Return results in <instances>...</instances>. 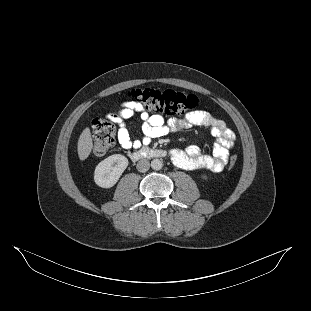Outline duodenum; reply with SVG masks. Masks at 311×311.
<instances>
[{"label":"duodenum","instance_id":"410a0bca","mask_svg":"<svg viewBox=\"0 0 311 311\" xmlns=\"http://www.w3.org/2000/svg\"><path fill=\"white\" fill-rule=\"evenodd\" d=\"M167 155L168 153L163 149L148 148V147L133 151L129 154L130 158L133 161L151 158H164Z\"/></svg>","mask_w":311,"mask_h":311}]
</instances>
